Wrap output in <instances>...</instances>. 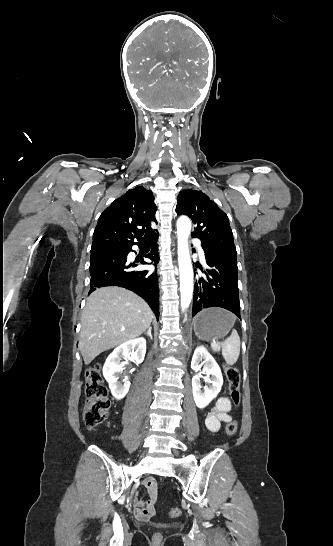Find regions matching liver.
Segmentation results:
<instances>
[{"label": "liver", "mask_w": 333, "mask_h": 546, "mask_svg": "<svg viewBox=\"0 0 333 546\" xmlns=\"http://www.w3.org/2000/svg\"><path fill=\"white\" fill-rule=\"evenodd\" d=\"M154 314L132 291L102 287L87 298L81 316L79 349L86 365L100 353L139 337Z\"/></svg>", "instance_id": "obj_1"}]
</instances>
